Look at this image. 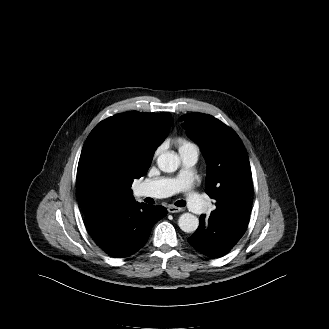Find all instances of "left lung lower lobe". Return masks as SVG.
Instances as JSON below:
<instances>
[{"mask_svg":"<svg viewBox=\"0 0 329 329\" xmlns=\"http://www.w3.org/2000/svg\"><path fill=\"white\" fill-rule=\"evenodd\" d=\"M231 207V212L223 210L221 215H201L198 229L188 238L190 245L210 258L228 253L244 235L251 212L247 201Z\"/></svg>","mask_w":329,"mask_h":329,"instance_id":"obj_1","label":"left lung lower lobe"}]
</instances>
